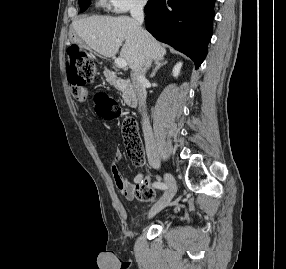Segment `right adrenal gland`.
<instances>
[{
  "mask_svg": "<svg viewBox=\"0 0 286 269\" xmlns=\"http://www.w3.org/2000/svg\"><path fill=\"white\" fill-rule=\"evenodd\" d=\"M166 63H167V61H164L163 59L155 60V68H154L152 74L150 75V77H154L155 74L157 73V71Z\"/></svg>",
  "mask_w": 286,
  "mask_h": 269,
  "instance_id": "1",
  "label": "right adrenal gland"
}]
</instances>
